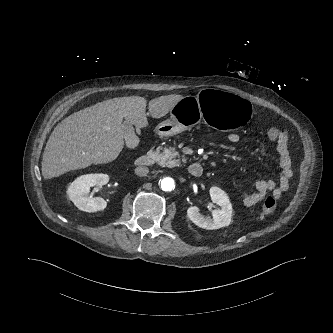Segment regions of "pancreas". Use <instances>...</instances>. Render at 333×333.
<instances>
[{"instance_id": "1", "label": "pancreas", "mask_w": 333, "mask_h": 333, "mask_svg": "<svg viewBox=\"0 0 333 333\" xmlns=\"http://www.w3.org/2000/svg\"><path fill=\"white\" fill-rule=\"evenodd\" d=\"M155 155L157 157L158 164L161 166L174 167L179 166L181 161L176 159L179 157V153L176 151L175 147L164 148L160 152V147L156 149Z\"/></svg>"}]
</instances>
